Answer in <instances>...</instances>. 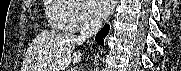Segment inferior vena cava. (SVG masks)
Returning a JSON list of instances; mask_svg holds the SVG:
<instances>
[{
  "label": "inferior vena cava",
  "instance_id": "602c4592",
  "mask_svg": "<svg viewBox=\"0 0 181 71\" xmlns=\"http://www.w3.org/2000/svg\"><path fill=\"white\" fill-rule=\"evenodd\" d=\"M102 27V22L92 17L87 18L81 27L80 35L77 40L79 43L86 41L94 36Z\"/></svg>",
  "mask_w": 181,
  "mask_h": 71
}]
</instances>
